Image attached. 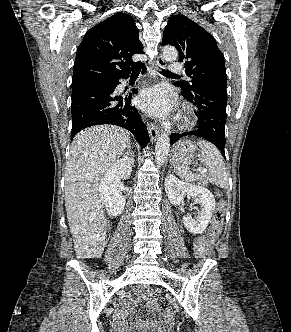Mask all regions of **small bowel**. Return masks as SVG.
I'll return each instance as SVG.
<instances>
[{"instance_id":"small-bowel-1","label":"small bowel","mask_w":291,"mask_h":332,"mask_svg":"<svg viewBox=\"0 0 291 332\" xmlns=\"http://www.w3.org/2000/svg\"><path fill=\"white\" fill-rule=\"evenodd\" d=\"M194 251H195L196 256H198V257H203L206 254V252H207V241H206L205 237L199 236L198 238H196V240L194 242ZM143 298L147 302L148 307L152 311H157L159 309V306H158L156 301L149 298L147 295H145ZM169 325H170V314L168 312H165L164 315H163L162 320H149V321H146L143 324V327L147 328V329H154L156 331L163 332V331H165V329L168 328ZM120 326L122 328H125L128 325L125 322H121Z\"/></svg>"}]
</instances>
